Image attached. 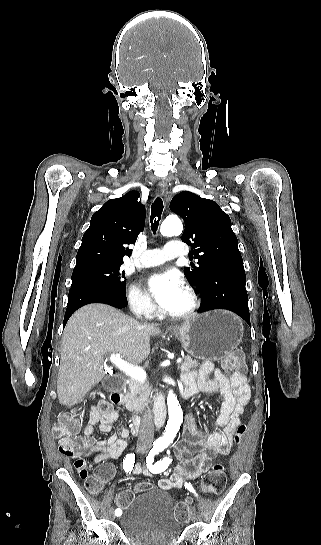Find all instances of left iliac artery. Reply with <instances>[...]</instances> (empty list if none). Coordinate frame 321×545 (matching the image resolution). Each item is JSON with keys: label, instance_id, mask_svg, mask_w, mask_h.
Segmentation results:
<instances>
[{"label": "left iliac artery", "instance_id": "obj_1", "mask_svg": "<svg viewBox=\"0 0 321 545\" xmlns=\"http://www.w3.org/2000/svg\"><path fill=\"white\" fill-rule=\"evenodd\" d=\"M163 450H164V446L156 445L150 450L149 454L146 457L147 467L152 473H160L164 471L171 463V460L169 458H164L162 461H158L153 464L154 456ZM185 488L191 491L192 493L196 494L191 484L185 483Z\"/></svg>", "mask_w": 321, "mask_h": 545}]
</instances>
